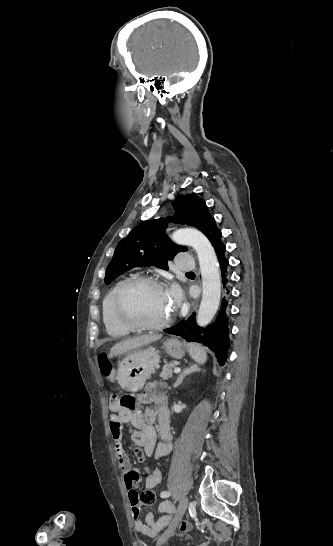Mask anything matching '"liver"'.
<instances>
[{
    "label": "liver",
    "mask_w": 333,
    "mask_h": 546,
    "mask_svg": "<svg viewBox=\"0 0 333 546\" xmlns=\"http://www.w3.org/2000/svg\"><path fill=\"white\" fill-rule=\"evenodd\" d=\"M162 335L153 334V335H142L134 337L132 339H127L115 344L108 354V358H113L115 356L131 352L135 349H138L144 345L156 342L161 339Z\"/></svg>",
    "instance_id": "liver-1"
}]
</instances>
